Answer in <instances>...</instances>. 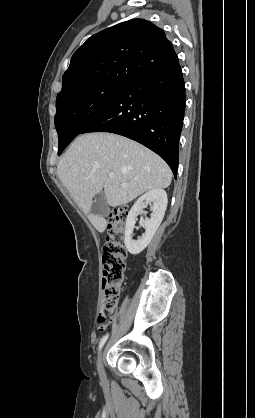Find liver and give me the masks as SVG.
<instances>
[{
	"label": "liver",
	"instance_id": "liver-1",
	"mask_svg": "<svg viewBox=\"0 0 255 418\" xmlns=\"http://www.w3.org/2000/svg\"><path fill=\"white\" fill-rule=\"evenodd\" d=\"M57 174L99 232L105 231L107 221L90 211L93 197L102 189L107 203L117 207L146 191L167 188L172 180L169 166L156 153L126 137L104 132L77 137L59 161Z\"/></svg>",
	"mask_w": 255,
	"mask_h": 418
}]
</instances>
